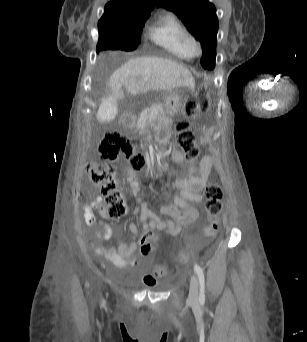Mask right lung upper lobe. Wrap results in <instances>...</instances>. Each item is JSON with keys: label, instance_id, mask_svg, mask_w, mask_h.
Returning <instances> with one entry per match:
<instances>
[{"label": "right lung upper lobe", "instance_id": "1", "mask_svg": "<svg viewBox=\"0 0 307 342\" xmlns=\"http://www.w3.org/2000/svg\"><path fill=\"white\" fill-rule=\"evenodd\" d=\"M157 0H111L98 22L99 32L140 34Z\"/></svg>", "mask_w": 307, "mask_h": 342}]
</instances>
